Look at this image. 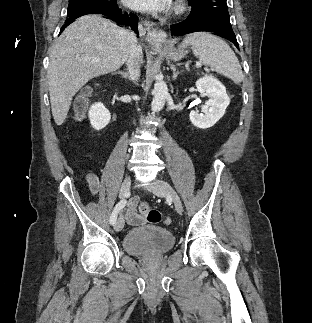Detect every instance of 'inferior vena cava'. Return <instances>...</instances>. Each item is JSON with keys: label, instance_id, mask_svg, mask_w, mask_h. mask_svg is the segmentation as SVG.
Returning a JSON list of instances; mask_svg holds the SVG:
<instances>
[{"label": "inferior vena cava", "instance_id": "602c4592", "mask_svg": "<svg viewBox=\"0 0 312 323\" xmlns=\"http://www.w3.org/2000/svg\"><path fill=\"white\" fill-rule=\"evenodd\" d=\"M127 42L129 44V52L127 56V68L129 70L130 80L137 82L140 78V66L142 64L143 56L141 46L137 42L134 32H126Z\"/></svg>", "mask_w": 312, "mask_h": 323}]
</instances>
